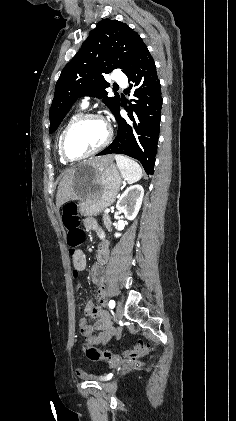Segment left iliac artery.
<instances>
[{
	"label": "left iliac artery",
	"instance_id": "obj_1",
	"mask_svg": "<svg viewBox=\"0 0 236 421\" xmlns=\"http://www.w3.org/2000/svg\"><path fill=\"white\" fill-rule=\"evenodd\" d=\"M108 306H109V308L113 309L115 307V301L110 300Z\"/></svg>",
	"mask_w": 236,
	"mask_h": 421
}]
</instances>
